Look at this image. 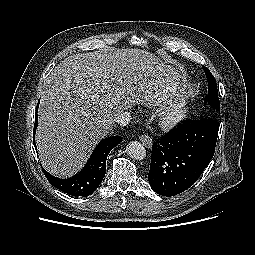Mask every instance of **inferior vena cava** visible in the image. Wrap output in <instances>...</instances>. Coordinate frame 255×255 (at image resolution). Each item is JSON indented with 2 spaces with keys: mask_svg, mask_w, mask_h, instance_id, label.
<instances>
[{
  "mask_svg": "<svg viewBox=\"0 0 255 255\" xmlns=\"http://www.w3.org/2000/svg\"><path fill=\"white\" fill-rule=\"evenodd\" d=\"M131 120L129 112H121L118 116L114 118V122L120 124L121 126H126Z\"/></svg>",
  "mask_w": 255,
  "mask_h": 255,
  "instance_id": "1",
  "label": "inferior vena cava"
}]
</instances>
